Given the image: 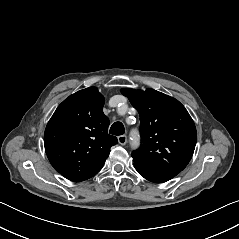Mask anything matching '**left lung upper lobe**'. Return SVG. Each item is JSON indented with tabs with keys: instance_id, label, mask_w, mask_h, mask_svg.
<instances>
[{
	"instance_id": "5c2ea615",
	"label": "left lung upper lobe",
	"mask_w": 239,
	"mask_h": 239,
	"mask_svg": "<svg viewBox=\"0 0 239 239\" xmlns=\"http://www.w3.org/2000/svg\"><path fill=\"white\" fill-rule=\"evenodd\" d=\"M140 114L141 146L132 152L134 165L163 171H182L191 160L196 127L185 107L154 89L123 88Z\"/></svg>"
}]
</instances>
